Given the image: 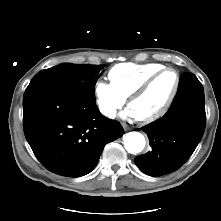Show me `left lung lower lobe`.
<instances>
[{"label": "left lung lower lobe", "mask_w": 221, "mask_h": 221, "mask_svg": "<svg viewBox=\"0 0 221 221\" xmlns=\"http://www.w3.org/2000/svg\"><path fill=\"white\" fill-rule=\"evenodd\" d=\"M206 125L204 90L193 74H184L177 94L161 118L142 127L151 150L134 159L149 176H161L180 168L194 152Z\"/></svg>", "instance_id": "obj_1"}]
</instances>
